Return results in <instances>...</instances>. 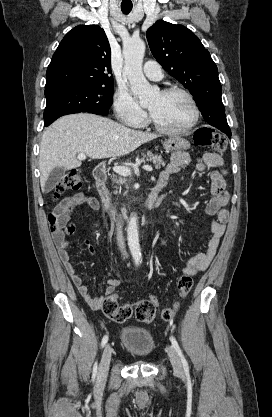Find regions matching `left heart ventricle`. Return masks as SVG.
Returning <instances> with one entry per match:
<instances>
[{
  "instance_id": "left-heart-ventricle-1",
  "label": "left heart ventricle",
  "mask_w": 272,
  "mask_h": 417,
  "mask_svg": "<svg viewBox=\"0 0 272 417\" xmlns=\"http://www.w3.org/2000/svg\"><path fill=\"white\" fill-rule=\"evenodd\" d=\"M148 110L160 125L170 129L185 127L193 116L191 105L182 94L163 96L159 93Z\"/></svg>"
}]
</instances>
